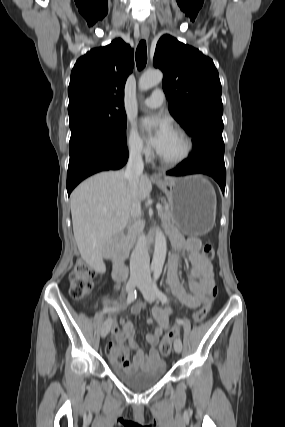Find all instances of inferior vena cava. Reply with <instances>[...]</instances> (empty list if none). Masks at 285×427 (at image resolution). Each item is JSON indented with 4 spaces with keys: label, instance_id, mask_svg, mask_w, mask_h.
<instances>
[{
    "label": "inferior vena cava",
    "instance_id": "1",
    "mask_svg": "<svg viewBox=\"0 0 285 427\" xmlns=\"http://www.w3.org/2000/svg\"><path fill=\"white\" fill-rule=\"evenodd\" d=\"M144 164L141 154V148L136 147L130 151L129 160L124 172L125 178L129 181L132 189L136 191L139 176L143 173ZM141 213L140 202H133L131 215L137 217ZM149 253L147 248V240L144 234L139 236L135 249L131 254L130 272L131 275H146L149 271Z\"/></svg>",
    "mask_w": 285,
    "mask_h": 427
}]
</instances>
